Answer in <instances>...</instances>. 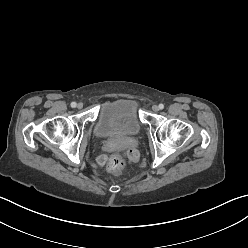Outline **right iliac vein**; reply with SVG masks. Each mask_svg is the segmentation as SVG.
<instances>
[{"label":"right iliac vein","mask_w":248,"mask_h":248,"mask_svg":"<svg viewBox=\"0 0 248 248\" xmlns=\"http://www.w3.org/2000/svg\"><path fill=\"white\" fill-rule=\"evenodd\" d=\"M77 108H78V109H82V108H83V103H81V102L78 103V104H77Z\"/></svg>","instance_id":"right-iliac-vein-1"}]
</instances>
